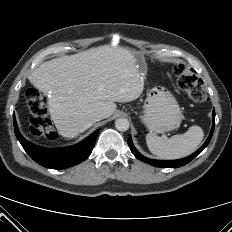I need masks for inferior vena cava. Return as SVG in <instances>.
Instances as JSON below:
<instances>
[{"label":"inferior vena cava","mask_w":232,"mask_h":232,"mask_svg":"<svg viewBox=\"0 0 232 232\" xmlns=\"http://www.w3.org/2000/svg\"><path fill=\"white\" fill-rule=\"evenodd\" d=\"M100 119H102V115H100V114L94 113V114L90 115L88 126H91L92 123L99 121Z\"/></svg>","instance_id":"602c4592"}]
</instances>
